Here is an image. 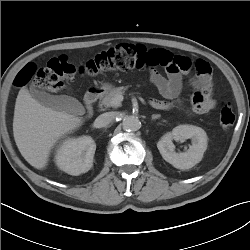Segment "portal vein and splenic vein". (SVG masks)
<instances>
[{
    "label": "portal vein and splenic vein",
    "mask_w": 250,
    "mask_h": 250,
    "mask_svg": "<svg viewBox=\"0 0 250 250\" xmlns=\"http://www.w3.org/2000/svg\"><path fill=\"white\" fill-rule=\"evenodd\" d=\"M122 101H123V96L122 95H117L114 98V102L117 103V104H120Z\"/></svg>",
    "instance_id": "18ae733b"
}]
</instances>
